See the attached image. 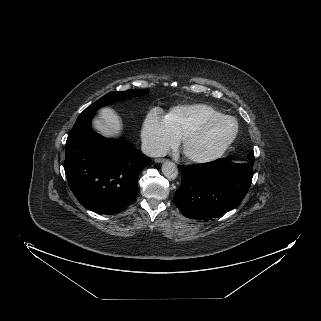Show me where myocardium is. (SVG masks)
<instances>
[{
  "mask_svg": "<svg viewBox=\"0 0 321 321\" xmlns=\"http://www.w3.org/2000/svg\"><path fill=\"white\" fill-rule=\"evenodd\" d=\"M223 120L232 121L234 124V128L232 133L214 151L208 154H195L188 150L187 145L189 141H191L192 139L200 135L212 124ZM238 131H239L238 122L234 117L230 115L222 114V115L207 118L183 134V136L180 138L181 151L183 155L192 162L208 163V162L214 161L220 158L227 151V149L231 146V144L236 139Z\"/></svg>",
  "mask_w": 321,
  "mask_h": 321,
  "instance_id": "myocardium-1",
  "label": "myocardium"
}]
</instances>
